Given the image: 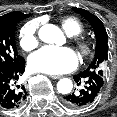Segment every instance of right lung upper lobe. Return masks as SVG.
<instances>
[{
    "instance_id": "cb5924a9",
    "label": "right lung upper lobe",
    "mask_w": 117,
    "mask_h": 117,
    "mask_svg": "<svg viewBox=\"0 0 117 117\" xmlns=\"http://www.w3.org/2000/svg\"><path fill=\"white\" fill-rule=\"evenodd\" d=\"M24 15L30 16V14H23L21 12H11V13H8V14L1 16L0 20L5 19V18H9V17H18V16H24Z\"/></svg>"
}]
</instances>
